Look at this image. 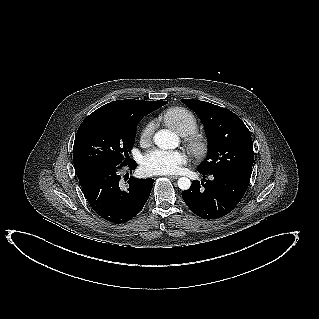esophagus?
Masks as SVG:
<instances>
[{"label": "esophagus", "instance_id": "34e87169", "mask_svg": "<svg viewBox=\"0 0 319 319\" xmlns=\"http://www.w3.org/2000/svg\"><path fill=\"white\" fill-rule=\"evenodd\" d=\"M167 177L170 178V179H178L179 176H177V175H173V176H172V175H171V176H167Z\"/></svg>", "mask_w": 319, "mask_h": 319}]
</instances>
